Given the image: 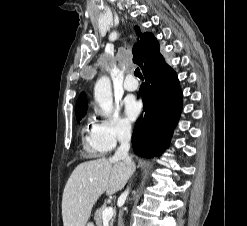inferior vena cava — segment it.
Masks as SVG:
<instances>
[{"label": "inferior vena cava", "instance_id": "602c4592", "mask_svg": "<svg viewBox=\"0 0 247 226\" xmlns=\"http://www.w3.org/2000/svg\"><path fill=\"white\" fill-rule=\"evenodd\" d=\"M117 138L120 143V146L116 150L113 159L116 160H123L127 164H132V158L129 156V149H130V139H131V128L128 125H123L119 128L117 133ZM129 192L127 189L124 192L126 196Z\"/></svg>", "mask_w": 247, "mask_h": 226}]
</instances>
